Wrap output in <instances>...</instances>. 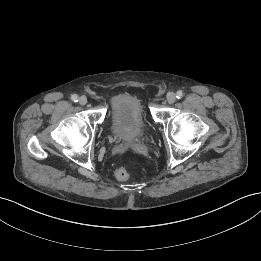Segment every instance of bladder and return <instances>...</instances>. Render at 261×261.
Returning a JSON list of instances; mask_svg holds the SVG:
<instances>
[{
	"label": "bladder",
	"mask_w": 261,
	"mask_h": 261,
	"mask_svg": "<svg viewBox=\"0 0 261 261\" xmlns=\"http://www.w3.org/2000/svg\"><path fill=\"white\" fill-rule=\"evenodd\" d=\"M110 129L115 138L128 142L145 134V112L136 95L121 93L113 98L110 105Z\"/></svg>",
	"instance_id": "obj_1"
}]
</instances>
